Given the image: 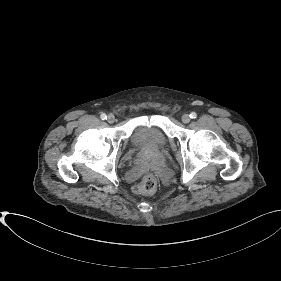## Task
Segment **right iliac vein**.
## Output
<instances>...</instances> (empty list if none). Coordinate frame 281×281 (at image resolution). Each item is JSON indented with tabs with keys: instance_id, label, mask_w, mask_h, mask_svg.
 Segmentation results:
<instances>
[{
	"instance_id": "63e3f726",
	"label": "right iliac vein",
	"mask_w": 281,
	"mask_h": 281,
	"mask_svg": "<svg viewBox=\"0 0 281 281\" xmlns=\"http://www.w3.org/2000/svg\"><path fill=\"white\" fill-rule=\"evenodd\" d=\"M108 123H114L115 122V116L113 114H109L107 117Z\"/></svg>"
}]
</instances>
